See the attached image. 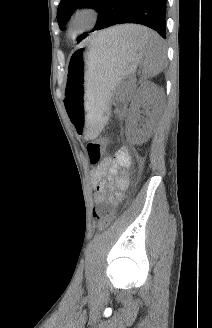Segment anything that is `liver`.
I'll return each mask as SVG.
<instances>
[{
	"instance_id": "liver-1",
	"label": "liver",
	"mask_w": 212,
	"mask_h": 328,
	"mask_svg": "<svg viewBox=\"0 0 212 328\" xmlns=\"http://www.w3.org/2000/svg\"><path fill=\"white\" fill-rule=\"evenodd\" d=\"M134 25L116 26L100 32L93 40L124 39L132 40Z\"/></svg>"
}]
</instances>
